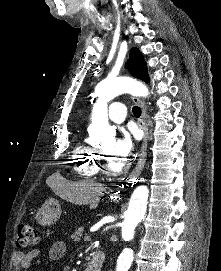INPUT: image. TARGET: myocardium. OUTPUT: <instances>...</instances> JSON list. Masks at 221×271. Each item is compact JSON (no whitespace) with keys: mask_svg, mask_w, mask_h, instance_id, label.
<instances>
[{"mask_svg":"<svg viewBox=\"0 0 221 271\" xmlns=\"http://www.w3.org/2000/svg\"><path fill=\"white\" fill-rule=\"evenodd\" d=\"M134 160L132 158H123L122 161L113 162L111 158H104V161H101V168L103 172V178H107V176H117V175H125L126 171H129V165Z\"/></svg>","mask_w":221,"mask_h":271,"instance_id":"myocardium-1","label":"myocardium"}]
</instances>
